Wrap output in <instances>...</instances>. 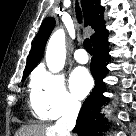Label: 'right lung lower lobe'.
<instances>
[{
	"label": "right lung lower lobe",
	"instance_id": "1",
	"mask_svg": "<svg viewBox=\"0 0 136 136\" xmlns=\"http://www.w3.org/2000/svg\"><path fill=\"white\" fill-rule=\"evenodd\" d=\"M93 46L94 57L91 61V73L96 81V85L84 101L76 126L73 129L74 133H77L79 136H95L96 134L100 136L101 133L98 132L105 130V123L107 122L101 114V108L109 101V98L103 96V93L106 91L103 78L108 73L106 65L110 59L107 37L102 38Z\"/></svg>",
	"mask_w": 136,
	"mask_h": 136
}]
</instances>
